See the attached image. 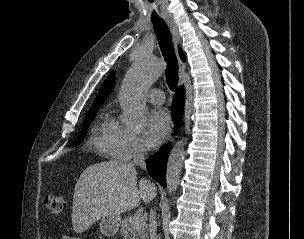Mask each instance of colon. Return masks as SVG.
Wrapping results in <instances>:
<instances>
[{"instance_id": "1", "label": "colon", "mask_w": 304, "mask_h": 239, "mask_svg": "<svg viewBox=\"0 0 304 239\" xmlns=\"http://www.w3.org/2000/svg\"><path fill=\"white\" fill-rule=\"evenodd\" d=\"M44 202L51 215L55 217L60 216L68 205L67 198L60 194L48 195Z\"/></svg>"}]
</instances>
